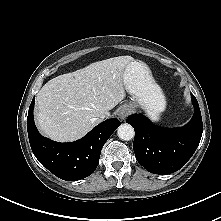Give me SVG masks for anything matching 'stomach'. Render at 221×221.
<instances>
[{
  "instance_id": "0dacf381",
  "label": "stomach",
  "mask_w": 221,
  "mask_h": 221,
  "mask_svg": "<svg viewBox=\"0 0 221 221\" xmlns=\"http://www.w3.org/2000/svg\"><path fill=\"white\" fill-rule=\"evenodd\" d=\"M123 82L132 96V108L141 106L153 120H158L165 110L166 100L160 87L154 82L148 67L140 61L130 62L125 69Z\"/></svg>"
}]
</instances>
